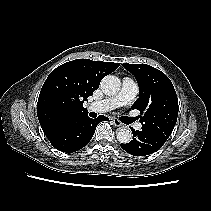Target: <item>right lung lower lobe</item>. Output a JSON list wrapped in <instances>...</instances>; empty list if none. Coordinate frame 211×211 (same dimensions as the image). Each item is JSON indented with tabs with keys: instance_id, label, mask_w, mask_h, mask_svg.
I'll use <instances>...</instances> for the list:
<instances>
[{
	"instance_id": "98d812e1",
	"label": "right lung lower lobe",
	"mask_w": 211,
	"mask_h": 211,
	"mask_svg": "<svg viewBox=\"0 0 211 211\" xmlns=\"http://www.w3.org/2000/svg\"><path fill=\"white\" fill-rule=\"evenodd\" d=\"M108 120L105 116L92 119L87 115L76 116L59 123L46 137L54 148L59 151L72 153L88 144L94 135L97 124Z\"/></svg>"
}]
</instances>
